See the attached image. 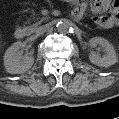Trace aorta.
<instances>
[{"label":"aorta","instance_id":"obj_1","mask_svg":"<svg viewBox=\"0 0 119 119\" xmlns=\"http://www.w3.org/2000/svg\"><path fill=\"white\" fill-rule=\"evenodd\" d=\"M57 30L60 33H68L71 30V23L67 20L60 21L57 24Z\"/></svg>","mask_w":119,"mask_h":119}]
</instances>
